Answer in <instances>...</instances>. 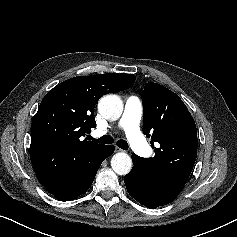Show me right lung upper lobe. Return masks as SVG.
Instances as JSON below:
<instances>
[{"label": "right lung upper lobe", "mask_w": 237, "mask_h": 237, "mask_svg": "<svg viewBox=\"0 0 237 237\" xmlns=\"http://www.w3.org/2000/svg\"><path fill=\"white\" fill-rule=\"evenodd\" d=\"M133 74H98L68 79L42 100L31 126L30 154L46 188L71 187L78 162L104 145L82 141L95 127L94 107L106 93L130 88Z\"/></svg>", "instance_id": "obj_1"}]
</instances>
